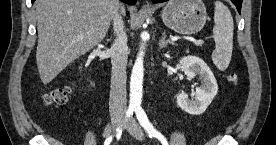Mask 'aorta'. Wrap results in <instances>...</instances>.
Masks as SVG:
<instances>
[{"instance_id":"1","label":"aorta","mask_w":276,"mask_h":145,"mask_svg":"<svg viewBox=\"0 0 276 145\" xmlns=\"http://www.w3.org/2000/svg\"><path fill=\"white\" fill-rule=\"evenodd\" d=\"M149 38L147 32L141 34L142 44L140 46V53L138 54L134 63L131 78H130V106L137 107L141 105L143 76H144V62L143 50L145 49V42Z\"/></svg>"}]
</instances>
